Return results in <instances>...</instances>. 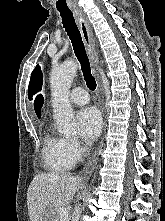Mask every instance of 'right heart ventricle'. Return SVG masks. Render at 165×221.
Returning <instances> with one entry per match:
<instances>
[{
	"instance_id": "right-heart-ventricle-1",
	"label": "right heart ventricle",
	"mask_w": 165,
	"mask_h": 221,
	"mask_svg": "<svg viewBox=\"0 0 165 221\" xmlns=\"http://www.w3.org/2000/svg\"><path fill=\"white\" fill-rule=\"evenodd\" d=\"M41 157L44 167L50 171L69 170L77 160L67 151L66 139L50 130L44 134Z\"/></svg>"
}]
</instances>
